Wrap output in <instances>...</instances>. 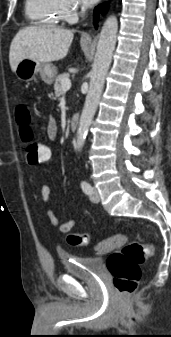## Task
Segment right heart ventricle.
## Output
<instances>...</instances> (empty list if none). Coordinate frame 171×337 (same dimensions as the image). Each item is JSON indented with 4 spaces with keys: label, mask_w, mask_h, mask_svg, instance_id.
Listing matches in <instances>:
<instances>
[{
    "label": "right heart ventricle",
    "mask_w": 171,
    "mask_h": 337,
    "mask_svg": "<svg viewBox=\"0 0 171 337\" xmlns=\"http://www.w3.org/2000/svg\"><path fill=\"white\" fill-rule=\"evenodd\" d=\"M25 13L39 25H56L62 20L56 0H26Z\"/></svg>",
    "instance_id": "obj_1"
}]
</instances>
